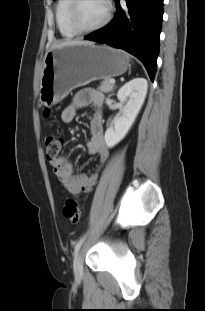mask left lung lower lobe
Listing matches in <instances>:
<instances>
[{"label":"left lung lower lobe","instance_id":"left-lung-lower-lobe-1","mask_svg":"<svg viewBox=\"0 0 205 311\" xmlns=\"http://www.w3.org/2000/svg\"><path fill=\"white\" fill-rule=\"evenodd\" d=\"M114 19L85 37L123 49L136 56L153 81L159 54L163 0H126V8L117 1Z\"/></svg>","mask_w":205,"mask_h":311}]
</instances>
